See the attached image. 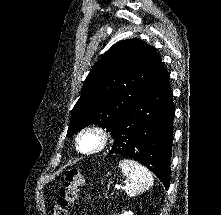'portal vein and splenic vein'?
I'll list each match as a JSON object with an SVG mask.
<instances>
[{
    "label": "portal vein and splenic vein",
    "instance_id": "1",
    "mask_svg": "<svg viewBox=\"0 0 221 215\" xmlns=\"http://www.w3.org/2000/svg\"><path fill=\"white\" fill-rule=\"evenodd\" d=\"M125 183H128L127 181H125ZM125 187L123 185H117L115 187L116 190H120V189H124Z\"/></svg>",
    "mask_w": 221,
    "mask_h": 215
}]
</instances>
